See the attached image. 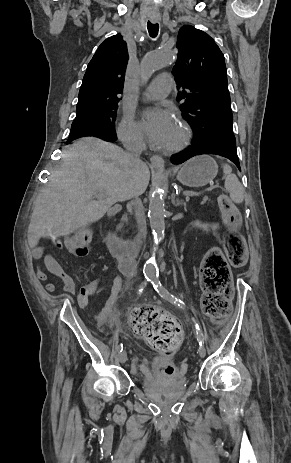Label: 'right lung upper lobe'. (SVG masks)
<instances>
[{
    "label": "right lung upper lobe",
    "mask_w": 291,
    "mask_h": 463,
    "mask_svg": "<svg viewBox=\"0 0 291 463\" xmlns=\"http://www.w3.org/2000/svg\"><path fill=\"white\" fill-rule=\"evenodd\" d=\"M128 59L127 44L120 34L98 47L82 81L76 117L118 104Z\"/></svg>",
    "instance_id": "1"
}]
</instances>
